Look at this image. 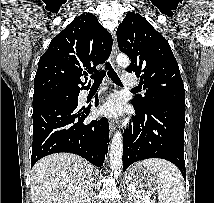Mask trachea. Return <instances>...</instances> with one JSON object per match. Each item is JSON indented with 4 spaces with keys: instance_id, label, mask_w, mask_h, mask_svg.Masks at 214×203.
<instances>
[{
    "instance_id": "obj_1",
    "label": "trachea",
    "mask_w": 214,
    "mask_h": 203,
    "mask_svg": "<svg viewBox=\"0 0 214 203\" xmlns=\"http://www.w3.org/2000/svg\"><path fill=\"white\" fill-rule=\"evenodd\" d=\"M106 69L108 70V76L111 78V80L119 85V86H123L120 78L118 77V75L116 74V72L113 70L112 66L110 65L109 62L106 63ZM106 75V71L102 70L101 72L94 74L91 76L92 79H94V83L93 86H99L104 78V76ZM134 91H136L137 89H133Z\"/></svg>"
}]
</instances>
